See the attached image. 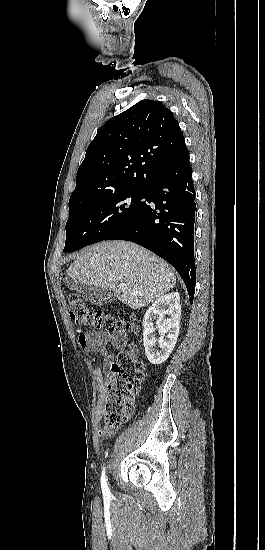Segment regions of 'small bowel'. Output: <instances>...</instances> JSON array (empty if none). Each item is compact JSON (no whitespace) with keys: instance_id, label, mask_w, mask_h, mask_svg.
<instances>
[{"instance_id":"small-bowel-1","label":"small bowel","mask_w":265,"mask_h":550,"mask_svg":"<svg viewBox=\"0 0 265 550\" xmlns=\"http://www.w3.org/2000/svg\"><path fill=\"white\" fill-rule=\"evenodd\" d=\"M127 337L126 335L122 333L118 334H107V333H84L79 332L78 335V343L79 346L85 350L88 351H97L105 356V361L108 363L112 359V354L106 351V346L109 345L114 348H122L127 343ZM93 376L99 385L100 389H102L104 378H103V372L101 368L95 367L93 369ZM101 416H102V408L98 407L96 410V423L100 424L101 422ZM110 429L109 428H100L98 430V434L102 438H106L110 435Z\"/></svg>"}]
</instances>
